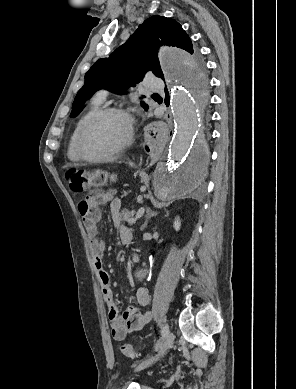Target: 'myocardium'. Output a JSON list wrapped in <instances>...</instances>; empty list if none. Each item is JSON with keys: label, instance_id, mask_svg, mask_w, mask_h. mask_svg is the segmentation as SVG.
I'll list each match as a JSON object with an SVG mask.
<instances>
[{"label": "myocardium", "instance_id": "obj_1", "mask_svg": "<svg viewBox=\"0 0 296 389\" xmlns=\"http://www.w3.org/2000/svg\"><path fill=\"white\" fill-rule=\"evenodd\" d=\"M110 114L122 115L127 119L128 133L125 140L119 146L109 151L108 153L98 155V156L89 155L85 148V138L87 132L95 122H97L102 117ZM134 134L135 131H134L133 118L125 109L120 107H104L96 111L94 114H92L81 126L77 137V151L81 159L88 162H101V161L109 160L122 154L132 144L134 140Z\"/></svg>", "mask_w": 296, "mask_h": 389}]
</instances>
